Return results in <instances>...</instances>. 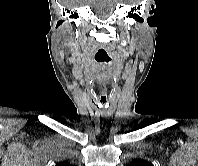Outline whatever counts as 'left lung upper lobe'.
I'll return each instance as SVG.
<instances>
[{
	"label": "left lung upper lobe",
	"instance_id": "1",
	"mask_svg": "<svg viewBox=\"0 0 198 166\" xmlns=\"http://www.w3.org/2000/svg\"><path fill=\"white\" fill-rule=\"evenodd\" d=\"M127 166H153V165L151 163L139 159V160H133Z\"/></svg>",
	"mask_w": 198,
	"mask_h": 166
}]
</instances>
